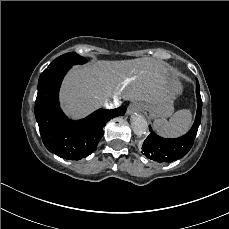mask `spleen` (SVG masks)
<instances>
[{
    "label": "spleen",
    "instance_id": "3e777b00",
    "mask_svg": "<svg viewBox=\"0 0 229 229\" xmlns=\"http://www.w3.org/2000/svg\"><path fill=\"white\" fill-rule=\"evenodd\" d=\"M191 122V114L188 110H178L170 117L169 121L160 118L154 122L155 128L164 135L176 136L185 132Z\"/></svg>",
    "mask_w": 229,
    "mask_h": 229
}]
</instances>
